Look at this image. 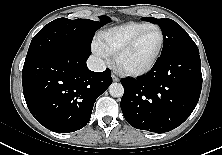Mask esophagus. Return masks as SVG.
Listing matches in <instances>:
<instances>
[{"label":"esophagus","mask_w":222,"mask_h":155,"mask_svg":"<svg viewBox=\"0 0 222 155\" xmlns=\"http://www.w3.org/2000/svg\"><path fill=\"white\" fill-rule=\"evenodd\" d=\"M112 80L114 81V82H118L119 81V78L116 76V75H114V74H112Z\"/></svg>","instance_id":"obj_1"}]
</instances>
